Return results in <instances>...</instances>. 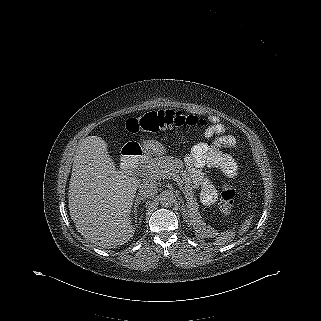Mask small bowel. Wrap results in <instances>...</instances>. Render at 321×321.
I'll list each match as a JSON object with an SVG mask.
<instances>
[{"instance_id": "1", "label": "small bowel", "mask_w": 321, "mask_h": 321, "mask_svg": "<svg viewBox=\"0 0 321 321\" xmlns=\"http://www.w3.org/2000/svg\"><path fill=\"white\" fill-rule=\"evenodd\" d=\"M223 130L221 125H217L215 127H211L207 130L208 136H213L217 133H220ZM233 142L232 137H221L217 140L215 146L207 147L205 145H198L195 148V151L202 154L205 159V163L209 167L219 168L226 177L233 178L236 175V164L232 159L223 155L219 146ZM214 201L213 197H209L207 195L203 196V202L206 204H210Z\"/></svg>"}]
</instances>
